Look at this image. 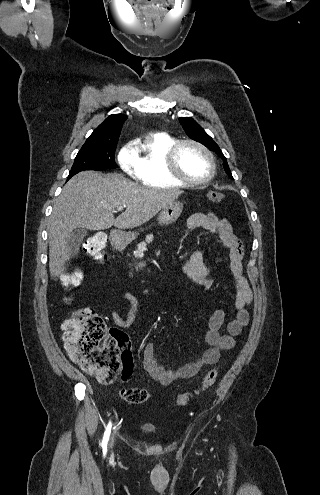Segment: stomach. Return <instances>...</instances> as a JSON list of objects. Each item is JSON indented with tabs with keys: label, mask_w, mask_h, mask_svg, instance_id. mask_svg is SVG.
Wrapping results in <instances>:
<instances>
[{
	"label": "stomach",
	"mask_w": 320,
	"mask_h": 495,
	"mask_svg": "<svg viewBox=\"0 0 320 495\" xmlns=\"http://www.w3.org/2000/svg\"><path fill=\"white\" fill-rule=\"evenodd\" d=\"M183 210V204L180 202L173 201L172 203L168 204L166 207H164L159 216H158V222L161 226H166L174 223L179 216L181 215ZM136 233L133 232H119L116 233L113 239V243L117 246H126L129 244L132 240L135 239Z\"/></svg>",
	"instance_id": "obj_1"
}]
</instances>
